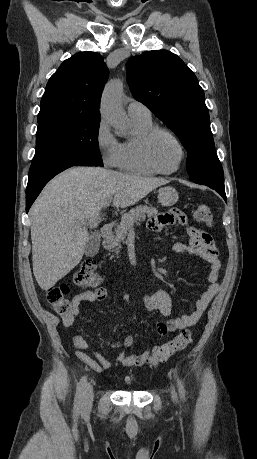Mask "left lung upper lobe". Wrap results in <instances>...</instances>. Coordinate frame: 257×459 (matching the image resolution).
<instances>
[{
  "label": "left lung upper lobe",
  "mask_w": 257,
  "mask_h": 459,
  "mask_svg": "<svg viewBox=\"0 0 257 459\" xmlns=\"http://www.w3.org/2000/svg\"><path fill=\"white\" fill-rule=\"evenodd\" d=\"M126 66L134 98L172 129L188 151L186 165L191 180L224 185L204 91L194 73L166 50L144 52L132 57Z\"/></svg>",
  "instance_id": "5c2ea615"
}]
</instances>
